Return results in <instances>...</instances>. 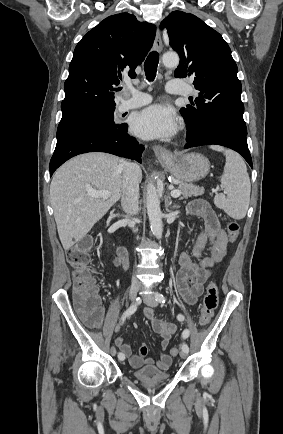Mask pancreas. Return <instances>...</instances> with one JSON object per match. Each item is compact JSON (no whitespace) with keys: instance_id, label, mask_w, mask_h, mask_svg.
<instances>
[{"instance_id":"cf45deb5","label":"pancreas","mask_w":283,"mask_h":434,"mask_svg":"<svg viewBox=\"0 0 283 434\" xmlns=\"http://www.w3.org/2000/svg\"><path fill=\"white\" fill-rule=\"evenodd\" d=\"M179 191L182 194V198H188L191 196H199L204 194L203 188H199L194 184H188L185 182H181L179 184Z\"/></svg>"}]
</instances>
